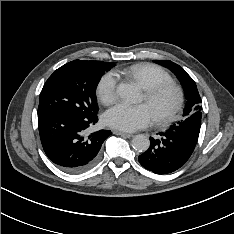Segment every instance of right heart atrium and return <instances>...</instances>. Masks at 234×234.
I'll return each mask as SVG.
<instances>
[{"mask_svg":"<svg viewBox=\"0 0 234 234\" xmlns=\"http://www.w3.org/2000/svg\"><path fill=\"white\" fill-rule=\"evenodd\" d=\"M96 92L104 104L112 103L117 95V77L113 72L101 76L97 83Z\"/></svg>","mask_w":234,"mask_h":234,"instance_id":"obj_1","label":"right heart atrium"}]
</instances>
